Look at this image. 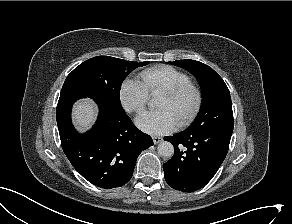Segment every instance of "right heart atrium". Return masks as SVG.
<instances>
[{
	"label": "right heart atrium",
	"mask_w": 292,
	"mask_h": 224,
	"mask_svg": "<svg viewBox=\"0 0 292 224\" xmlns=\"http://www.w3.org/2000/svg\"><path fill=\"white\" fill-rule=\"evenodd\" d=\"M122 107L129 113H141L149 100V94L143 84L136 79H125L119 88Z\"/></svg>",
	"instance_id": "1"
}]
</instances>
